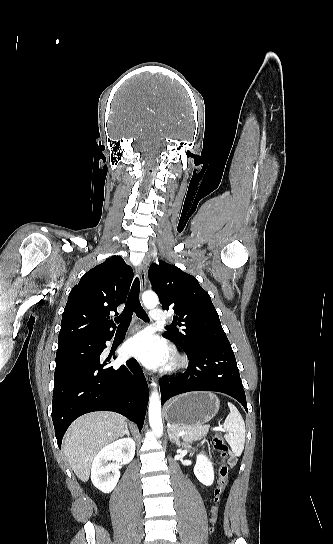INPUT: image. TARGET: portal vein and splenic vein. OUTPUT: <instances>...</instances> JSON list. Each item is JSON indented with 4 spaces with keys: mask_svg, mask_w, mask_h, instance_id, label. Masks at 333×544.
I'll list each match as a JSON object with an SVG mask.
<instances>
[{
    "mask_svg": "<svg viewBox=\"0 0 333 544\" xmlns=\"http://www.w3.org/2000/svg\"><path fill=\"white\" fill-rule=\"evenodd\" d=\"M218 430H220V431H224V430H223V429H221V428H218ZM178 435H179V436H183V435H185V432H184V431H181V432H179V433H178Z\"/></svg>",
    "mask_w": 333,
    "mask_h": 544,
    "instance_id": "1",
    "label": "portal vein and splenic vein"
}]
</instances>
